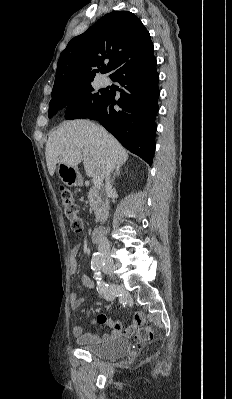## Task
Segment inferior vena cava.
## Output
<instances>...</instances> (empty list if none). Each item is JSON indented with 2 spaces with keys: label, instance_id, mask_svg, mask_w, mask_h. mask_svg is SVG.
I'll list each match as a JSON object with an SVG mask.
<instances>
[{
  "label": "inferior vena cava",
  "instance_id": "1",
  "mask_svg": "<svg viewBox=\"0 0 232 399\" xmlns=\"http://www.w3.org/2000/svg\"><path fill=\"white\" fill-rule=\"evenodd\" d=\"M102 136L103 138H106V140H108L109 136L107 134V132H104V130H102ZM114 168H116V166H114V164H108L107 168H106V188H107V192L109 194V192H111V184H110V172H113ZM98 250H100L101 252L104 253V261H107L108 263L112 262L111 256L109 254V252H111V245L109 241H100L99 245H98Z\"/></svg>",
  "mask_w": 232,
  "mask_h": 399
}]
</instances>
